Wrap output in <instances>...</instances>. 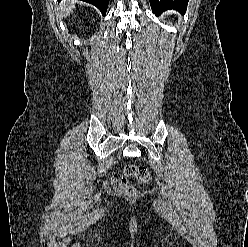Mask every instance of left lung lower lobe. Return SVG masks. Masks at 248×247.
Masks as SVG:
<instances>
[{"label": "left lung lower lobe", "mask_w": 248, "mask_h": 247, "mask_svg": "<svg viewBox=\"0 0 248 247\" xmlns=\"http://www.w3.org/2000/svg\"><path fill=\"white\" fill-rule=\"evenodd\" d=\"M154 13H162L169 9L185 12L189 0H149Z\"/></svg>", "instance_id": "0a47b994"}]
</instances>
